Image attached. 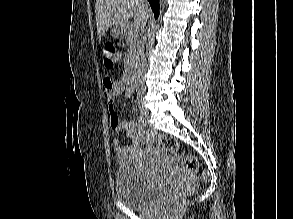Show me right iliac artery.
<instances>
[{"instance_id":"82829eb1","label":"right iliac artery","mask_w":293,"mask_h":219,"mask_svg":"<svg viewBox=\"0 0 293 219\" xmlns=\"http://www.w3.org/2000/svg\"><path fill=\"white\" fill-rule=\"evenodd\" d=\"M138 121L142 126H146V119L142 116L139 117Z\"/></svg>"}]
</instances>
